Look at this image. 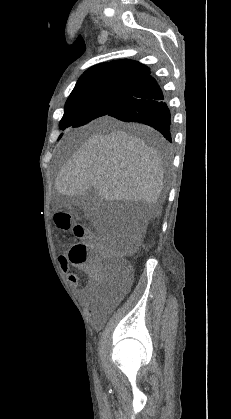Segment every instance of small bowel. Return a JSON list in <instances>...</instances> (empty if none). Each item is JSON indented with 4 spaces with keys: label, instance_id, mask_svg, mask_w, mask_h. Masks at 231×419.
<instances>
[{
    "label": "small bowel",
    "instance_id": "c3829d8e",
    "mask_svg": "<svg viewBox=\"0 0 231 419\" xmlns=\"http://www.w3.org/2000/svg\"><path fill=\"white\" fill-rule=\"evenodd\" d=\"M59 261H60V265H61L62 269H64V270H68L69 269V263L67 262V260H66L65 257H60V260ZM82 269L84 271H88L89 272V267L88 266H85ZM68 282L71 285L76 286V285H78L80 283V277L78 275L74 274V273H69L68 274ZM82 292L85 293L86 290H83Z\"/></svg>",
    "mask_w": 231,
    "mask_h": 419
}]
</instances>
